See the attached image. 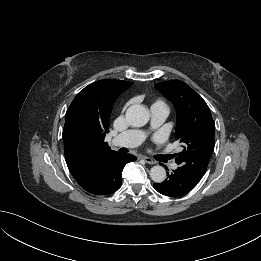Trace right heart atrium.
<instances>
[{
    "instance_id": "d8ad5b80",
    "label": "right heart atrium",
    "mask_w": 261,
    "mask_h": 261,
    "mask_svg": "<svg viewBox=\"0 0 261 261\" xmlns=\"http://www.w3.org/2000/svg\"><path fill=\"white\" fill-rule=\"evenodd\" d=\"M126 106L123 108V111L125 110Z\"/></svg>"
}]
</instances>
